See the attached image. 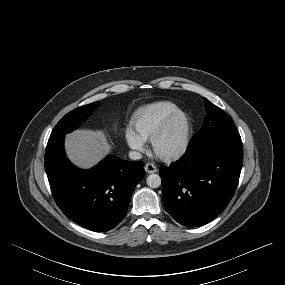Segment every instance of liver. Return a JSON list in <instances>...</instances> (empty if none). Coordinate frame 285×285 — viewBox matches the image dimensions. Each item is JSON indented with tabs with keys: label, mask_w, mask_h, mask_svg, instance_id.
<instances>
[{
	"label": "liver",
	"mask_w": 285,
	"mask_h": 285,
	"mask_svg": "<svg viewBox=\"0 0 285 285\" xmlns=\"http://www.w3.org/2000/svg\"><path fill=\"white\" fill-rule=\"evenodd\" d=\"M65 149L75 165L90 168L102 160L111 147L103 131L81 129L67 134Z\"/></svg>",
	"instance_id": "liver-1"
}]
</instances>
